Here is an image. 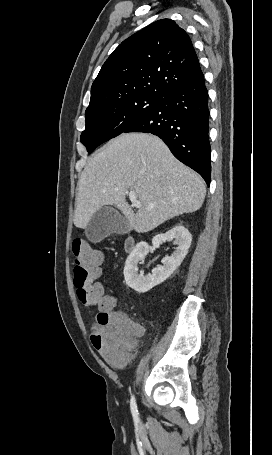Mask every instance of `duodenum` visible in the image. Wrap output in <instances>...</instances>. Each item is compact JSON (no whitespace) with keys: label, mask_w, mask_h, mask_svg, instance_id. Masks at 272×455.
Returning <instances> with one entry per match:
<instances>
[{"label":"duodenum","mask_w":272,"mask_h":455,"mask_svg":"<svg viewBox=\"0 0 272 455\" xmlns=\"http://www.w3.org/2000/svg\"><path fill=\"white\" fill-rule=\"evenodd\" d=\"M135 243L136 242H135V239L133 237L127 238L126 241H125V245H124L125 246V250L127 252H131L134 249V247H135Z\"/></svg>","instance_id":"410a0bca"}]
</instances>
